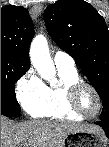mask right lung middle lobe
I'll return each instance as SVG.
<instances>
[{"instance_id":"obj_1","label":"right lung middle lobe","mask_w":109,"mask_h":147,"mask_svg":"<svg viewBox=\"0 0 109 147\" xmlns=\"http://www.w3.org/2000/svg\"><path fill=\"white\" fill-rule=\"evenodd\" d=\"M29 67L1 55V108L13 117H19L21 108L15 99V84Z\"/></svg>"}]
</instances>
